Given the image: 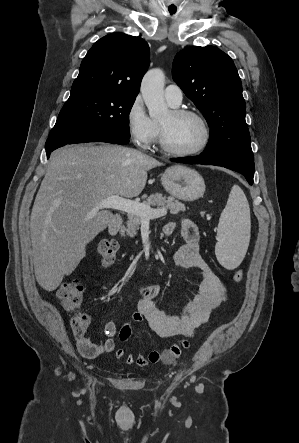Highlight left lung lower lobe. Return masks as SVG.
I'll use <instances>...</instances> for the list:
<instances>
[{"mask_svg": "<svg viewBox=\"0 0 299 443\" xmlns=\"http://www.w3.org/2000/svg\"><path fill=\"white\" fill-rule=\"evenodd\" d=\"M174 162L178 163H187V164H204V165H216L222 166L233 171L239 172L245 176L246 180L250 185L253 184L254 177V161H241V162H231V163H220L211 161L207 158H204L202 155L194 156V157H184V158H176L171 159Z\"/></svg>", "mask_w": 299, "mask_h": 443, "instance_id": "1", "label": "left lung lower lobe"}]
</instances>
